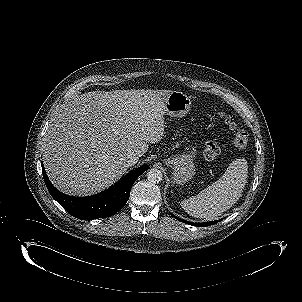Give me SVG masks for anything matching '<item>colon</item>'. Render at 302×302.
<instances>
[{"label": "colon", "mask_w": 302, "mask_h": 302, "mask_svg": "<svg viewBox=\"0 0 302 302\" xmlns=\"http://www.w3.org/2000/svg\"><path fill=\"white\" fill-rule=\"evenodd\" d=\"M219 116L223 119L225 124L232 131L233 144L236 147L243 148L247 145L248 142V133L229 115H226L223 111L218 112ZM221 152V144L216 140H212L206 143L203 150V157L206 160L215 159Z\"/></svg>", "instance_id": "obj_1"}]
</instances>
